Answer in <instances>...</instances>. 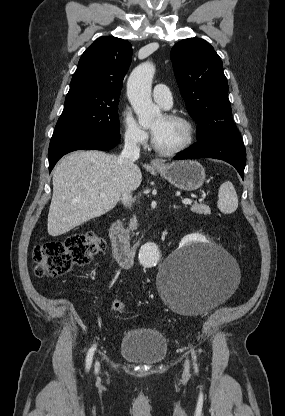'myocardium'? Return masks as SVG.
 <instances>
[{
  "label": "myocardium",
  "instance_id": "f54148a6",
  "mask_svg": "<svg viewBox=\"0 0 285 416\" xmlns=\"http://www.w3.org/2000/svg\"><path fill=\"white\" fill-rule=\"evenodd\" d=\"M163 116L167 119H170L172 121L182 124L186 130V139L182 145L174 149H162L156 144L155 140H153V147L155 151L158 154L162 156H167V157L177 156L179 154L184 153L192 146L193 141H194L195 132H194L193 124L187 117L177 114V113H165Z\"/></svg>",
  "mask_w": 285,
  "mask_h": 416
}]
</instances>
